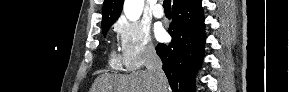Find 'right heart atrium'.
Returning <instances> with one entry per match:
<instances>
[{
    "instance_id": "1",
    "label": "right heart atrium",
    "mask_w": 289,
    "mask_h": 92,
    "mask_svg": "<svg viewBox=\"0 0 289 92\" xmlns=\"http://www.w3.org/2000/svg\"><path fill=\"white\" fill-rule=\"evenodd\" d=\"M119 39L121 63L127 70H137L156 56L149 29L141 23L120 19L114 25Z\"/></svg>"
}]
</instances>
